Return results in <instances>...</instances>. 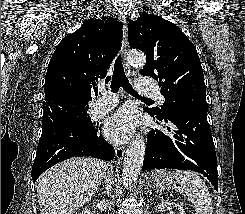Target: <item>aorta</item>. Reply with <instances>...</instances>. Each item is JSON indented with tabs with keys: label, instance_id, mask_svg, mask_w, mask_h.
<instances>
[{
	"label": "aorta",
	"instance_id": "762f6f07",
	"mask_svg": "<svg viewBox=\"0 0 245 214\" xmlns=\"http://www.w3.org/2000/svg\"><path fill=\"white\" fill-rule=\"evenodd\" d=\"M127 59L131 65L137 66H143L146 62L145 54L137 51L129 52ZM145 146L144 137L138 135L133 139L126 151V157L123 163V183L127 189H131L140 174L144 160Z\"/></svg>",
	"mask_w": 245,
	"mask_h": 214
}]
</instances>
